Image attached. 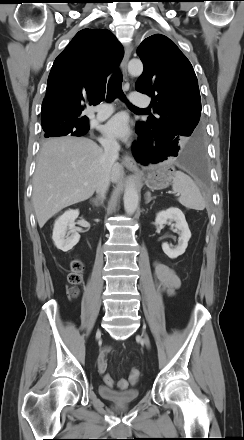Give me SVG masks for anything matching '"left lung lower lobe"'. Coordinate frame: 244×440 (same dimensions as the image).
<instances>
[{"mask_svg": "<svg viewBox=\"0 0 244 440\" xmlns=\"http://www.w3.org/2000/svg\"><path fill=\"white\" fill-rule=\"evenodd\" d=\"M138 140L133 144V154L143 165L156 164L167 159L176 160L191 173L204 177L206 174V159L203 138H195L186 145L169 140L156 127L137 123Z\"/></svg>", "mask_w": 244, "mask_h": 440, "instance_id": "left-lung-lower-lobe-1", "label": "left lung lower lobe"}]
</instances>
